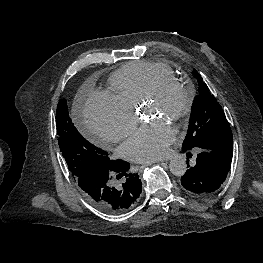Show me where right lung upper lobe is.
I'll return each mask as SVG.
<instances>
[{
	"label": "right lung upper lobe",
	"instance_id": "1",
	"mask_svg": "<svg viewBox=\"0 0 263 263\" xmlns=\"http://www.w3.org/2000/svg\"><path fill=\"white\" fill-rule=\"evenodd\" d=\"M127 209H129V208H125V207L117 208V209H113V210L111 211V213H120V212L126 211Z\"/></svg>",
	"mask_w": 263,
	"mask_h": 263
}]
</instances>
